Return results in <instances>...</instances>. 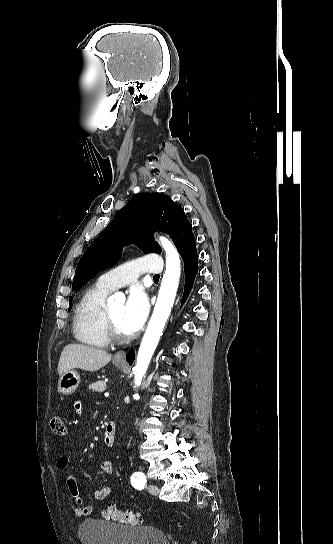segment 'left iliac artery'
<instances>
[{"label":"left iliac artery","instance_id":"obj_1","mask_svg":"<svg viewBox=\"0 0 333 544\" xmlns=\"http://www.w3.org/2000/svg\"><path fill=\"white\" fill-rule=\"evenodd\" d=\"M131 485L138 490H142L146 485V477L142 472H135L131 476Z\"/></svg>","mask_w":333,"mask_h":544}]
</instances>
